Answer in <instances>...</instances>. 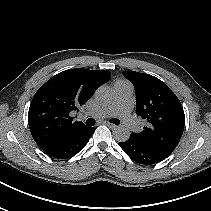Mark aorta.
Masks as SVG:
<instances>
[{
    "mask_svg": "<svg viewBox=\"0 0 211 211\" xmlns=\"http://www.w3.org/2000/svg\"><path fill=\"white\" fill-rule=\"evenodd\" d=\"M113 94L112 92L106 87H100L95 92V99L98 102L105 103L112 99ZM130 130L128 127L124 125L116 126L113 130V137L118 142H125L130 137Z\"/></svg>",
    "mask_w": 211,
    "mask_h": 211,
    "instance_id": "762f6f07",
    "label": "aorta"
}]
</instances>
